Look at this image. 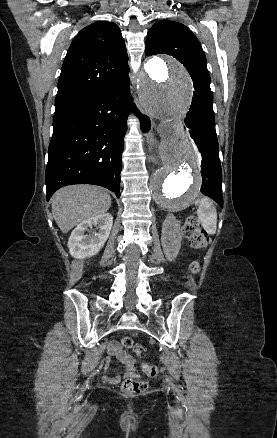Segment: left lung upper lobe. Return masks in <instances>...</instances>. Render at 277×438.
<instances>
[{
  "mask_svg": "<svg viewBox=\"0 0 277 438\" xmlns=\"http://www.w3.org/2000/svg\"><path fill=\"white\" fill-rule=\"evenodd\" d=\"M145 54H168L175 57L184 65L193 80L195 91L192 103L212 105L206 57L198 39L188 27L171 20L155 23L147 33Z\"/></svg>",
  "mask_w": 277,
  "mask_h": 438,
  "instance_id": "5c2ea615",
  "label": "left lung upper lobe"
}]
</instances>
